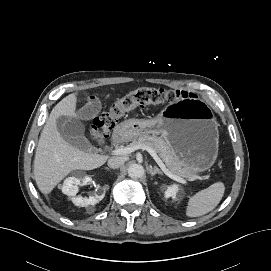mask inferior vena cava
I'll return each mask as SVG.
<instances>
[{
    "mask_svg": "<svg viewBox=\"0 0 271 271\" xmlns=\"http://www.w3.org/2000/svg\"><path fill=\"white\" fill-rule=\"evenodd\" d=\"M125 160L123 157H111L108 160V166L113 169L119 168L124 164Z\"/></svg>",
    "mask_w": 271,
    "mask_h": 271,
    "instance_id": "602c4592",
    "label": "inferior vena cava"
}]
</instances>
